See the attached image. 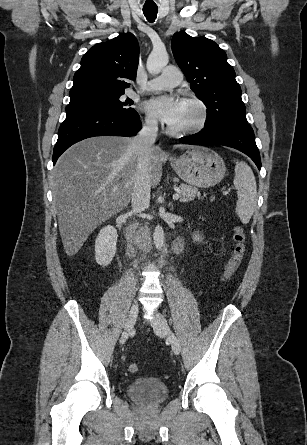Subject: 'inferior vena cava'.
<instances>
[{
  "mask_svg": "<svg viewBox=\"0 0 307 445\" xmlns=\"http://www.w3.org/2000/svg\"><path fill=\"white\" fill-rule=\"evenodd\" d=\"M158 122L156 118H145L138 134L132 138L128 148L137 156V166L133 178L134 186L131 194L132 210L142 212L150 206L149 150L156 140Z\"/></svg>",
  "mask_w": 307,
  "mask_h": 445,
  "instance_id": "602c4592",
  "label": "inferior vena cava"
}]
</instances>
